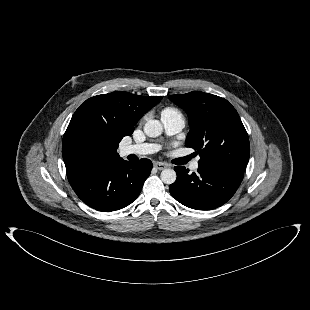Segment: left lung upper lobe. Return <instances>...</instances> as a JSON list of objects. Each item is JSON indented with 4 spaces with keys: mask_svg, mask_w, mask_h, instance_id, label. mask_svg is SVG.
Here are the masks:
<instances>
[{
    "mask_svg": "<svg viewBox=\"0 0 310 310\" xmlns=\"http://www.w3.org/2000/svg\"><path fill=\"white\" fill-rule=\"evenodd\" d=\"M169 99L185 110L190 131L185 145L200 154L199 166L244 173L249 161L248 134L235 108L224 98L193 91Z\"/></svg>",
    "mask_w": 310,
    "mask_h": 310,
    "instance_id": "obj_1",
    "label": "left lung upper lobe"
}]
</instances>
